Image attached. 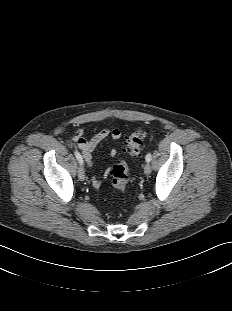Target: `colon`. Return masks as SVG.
Returning <instances> with one entry per match:
<instances>
[{
    "label": "colon",
    "instance_id": "colon-1",
    "mask_svg": "<svg viewBox=\"0 0 232 311\" xmlns=\"http://www.w3.org/2000/svg\"><path fill=\"white\" fill-rule=\"evenodd\" d=\"M144 136L145 133L142 130H136L127 135L124 143V152L130 156L137 155L143 146ZM110 173L113 187L120 192H125L130 181L127 165L124 162H120L112 167ZM113 199V196H109V201Z\"/></svg>",
    "mask_w": 232,
    "mask_h": 311
}]
</instances>
